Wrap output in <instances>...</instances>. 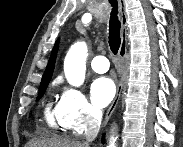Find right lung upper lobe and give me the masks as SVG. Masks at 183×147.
Wrapping results in <instances>:
<instances>
[{
  "instance_id": "cb5924a9",
  "label": "right lung upper lobe",
  "mask_w": 183,
  "mask_h": 147,
  "mask_svg": "<svg viewBox=\"0 0 183 147\" xmlns=\"http://www.w3.org/2000/svg\"><path fill=\"white\" fill-rule=\"evenodd\" d=\"M57 49H58V41L56 42V44H55V46L52 50L51 57L49 59L48 65H47L46 70H45V73H44L43 78L41 80L40 87L48 86V84L50 82V79L52 77L53 70H54Z\"/></svg>"
}]
</instances>
